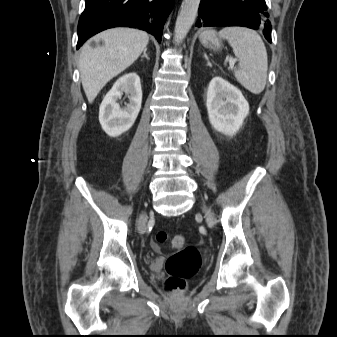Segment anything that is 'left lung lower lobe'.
Wrapping results in <instances>:
<instances>
[{
    "mask_svg": "<svg viewBox=\"0 0 337 337\" xmlns=\"http://www.w3.org/2000/svg\"><path fill=\"white\" fill-rule=\"evenodd\" d=\"M197 27L244 26L262 29L271 42V23L265 0H201Z\"/></svg>",
    "mask_w": 337,
    "mask_h": 337,
    "instance_id": "obj_1",
    "label": "left lung lower lobe"
}]
</instances>
